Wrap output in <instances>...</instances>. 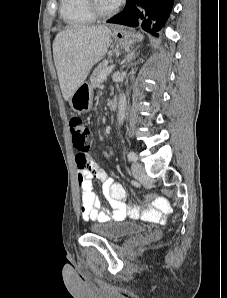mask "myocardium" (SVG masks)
<instances>
[{
  "mask_svg": "<svg viewBox=\"0 0 227 298\" xmlns=\"http://www.w3.org/2000/svg\"><path fill=\"white\" fill-rule=\"evenodd\" d=\"M87 6H88L89 11L91 12V14L95 18H107V17H110L117 10V7L116 6L110 8L108 10H103V9H101L98 6L96 0H87Z\"/></svg>",
  "mask_w": 227,
  "mask_h": 298,
  "instance_id": "f54148a6",
  "label": "myocardium"
}]
</instances>
